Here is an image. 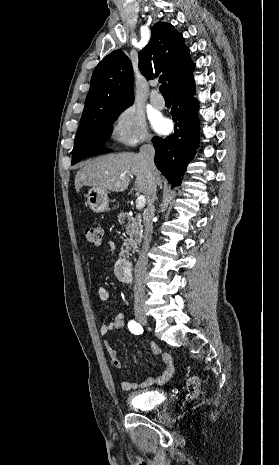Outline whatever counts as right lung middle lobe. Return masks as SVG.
Here are the masks:
<instances>
[{
    "mask_svg": "<svg viewBox=\"0 0 279 465\" xmlns=\"http://www.w3.org/2000/svg\"><path fill=\"white\" fill-rule=\"evenodd\" d=\"M122 111L104 110L94 121L79 126L72 151V165L85 157L108 152L103 148V142L109 138L112 124Z\"/></svg>",
    "mask_w": 279,
    "mask_h": 465,
    "instance_id": "right-lung-middle-lobe-1",
    "label": "right lung middle lobe"
}]
</instances>
